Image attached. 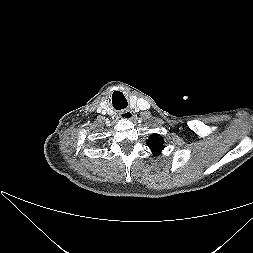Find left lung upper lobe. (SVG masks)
Listing matches in <instances>:
<instances>
[{
    "instance_id": "left-lung-upper-lobe-1",
    "label": "left lung upper lobe",
    "mask_w": 253,
    "mask_h": 253,
    "mask_svg": "<svg viewBox=\"0 0 253 253\" xmlns=\"http://www.w3.org/2000/svg\"><path fill=\"white\" fill-rule=\"evenodd\" d=\"M147 144L155 155L160 154L164 148L163 138L159 134H152L147 140Z\"/></svg>"
}]
</instances>
